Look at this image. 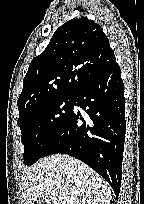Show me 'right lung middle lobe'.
<instances>
[{
  "instance_id": "dd1d6c3e",
  "label": "right lung middle lobe",
  "mask_w": 144,
  "mask_h": 204,
  "mask_svg": "<svg viewBox=\"0 0 144 204\" xmlns=\"http://www.w3.org/2000/svg\"><path fill=\"white\" fill-rule=\"evenodd\" d=\"M74 98L58 96L19 116L25 165H32L44 156L48 144L72 113Z\"/></svg>"
}]
</instances>
